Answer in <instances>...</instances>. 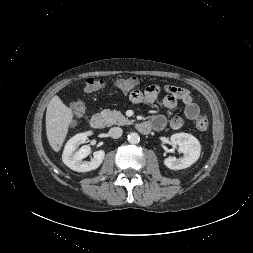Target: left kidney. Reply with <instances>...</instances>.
Wrapping results in <instances>:
<instances>
[{
    "mask_svg": "<svg viewBox=\"0 0 253 253\" xmlns=\"http://www.w3.org/2000/svg\"><path fill=\"white\" fill-rule=\"evenodd\" d=\"M171 143L179 147V151L183 153V157H168L164 159V164L171 170H180L190 167L200 156V142L191 134L176 133L170 137Z\"/></svg>",
    "mask_w": 253,
    "mask_h": 253,
    "instance_id": "5707ae66",
    "label": "left kidney"
}]
</instances>
